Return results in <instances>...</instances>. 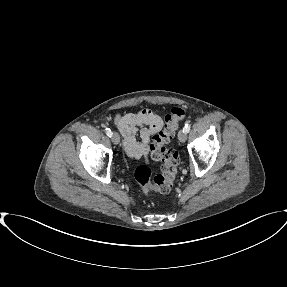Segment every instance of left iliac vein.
I'll return each mask as SVG.
<instances>
[{
  "label": "left iliac vein",
  "instance_id": "4c4485c4",
  "mask_svg": "<svg viewBox=\"0 0 287 287\" xmlns=\"http://www.w3.org/2000/svg\"><path fill=\"white\" fill-rule=\"evenodd\" d=\"M187 138L186 132L184 130H180L178 133V139L180 142H185Z\"/></svg>",
  "mask_w": 287,
  "mask_h": 287
}]
</instances>
